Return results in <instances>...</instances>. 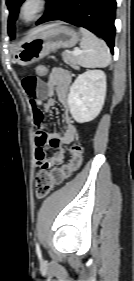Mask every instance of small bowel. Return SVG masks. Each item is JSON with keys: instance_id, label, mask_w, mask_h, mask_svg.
<instances>
[{"instance_id": "1", "label": "small bowel", "mask_w": 134, "mask_h": 281, "mask_svg": "<svg viewBox=\"0 0 134 281\" xmlns=\"http://www.w3.org/2000/svg\"><path fill=\"white\" fill-rule=\"evenodd\" d=\"M71 74L61 68H53L47 81L29 75L22 79V87L30 97L32 117L36 131V165L44 170L63 164L67 146L75 139L76 127L69 115L65 116L66 126L61 134L46 130L44 112L55 105L54 95L63 104H68ZM55 152L48 155V150Z\"/></svg>"}]
</instances>
